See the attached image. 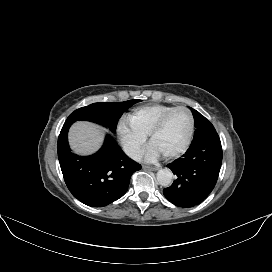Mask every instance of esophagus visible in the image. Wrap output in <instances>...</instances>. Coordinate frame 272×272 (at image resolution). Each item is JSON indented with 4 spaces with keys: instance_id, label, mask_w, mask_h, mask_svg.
Returning <instances> with one entry per match:
<instances>
[{
    "instance_id": "esophagus-1",
    "label": "esophagus",
    "mask_w": 272,
    "mask_h": 272,
    "mask_svg": "<svg viewBox=\"0 0 272 272\" xmlns=\"http://www.w3.org/2000/svg\"><path fill=\"white\" fill-rule=\"evenodd\" d=\"M144 170H148V171H157L159 169V167H153V166H143Z\"/></svg>"
}]
</instances>
